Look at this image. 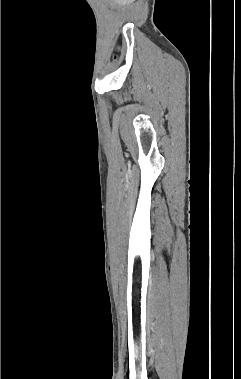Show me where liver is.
<instances>
[{"label":"liver","mask_w":241,"mask_h":379,"mask_svg":"<svg viewBox=\"0 0 241 379\" xmlns=\"http://www.w3.org/2000/svg\"><path fill=\"white\" fill-rule=\"evenodd\" d=\"M133 0H116V2H118L119 4L121 5H125V4H129L131 3Z\"/></svg>","instance_id":"1"}]
</instances>
